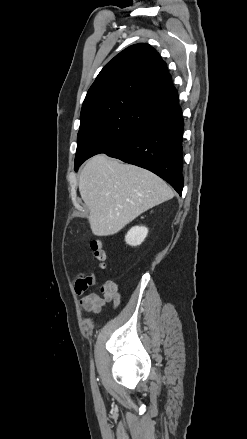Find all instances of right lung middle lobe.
<instances>
[{"mask_svg":"<svg viewBox=\"0 0 247 439\" xmlns=\"http://www.w3.org/2000/svg\"><path fill=\"white\" fill-rule=\"evenodd\" d=\"M151 113L129 101H109L82 111L75 170L93 155L104 153L122 142Z\"/></svg>","mask_w":247,"mask_h":439,"instance_id":"1","label":"right lung middle lobe"}]
</instances>
